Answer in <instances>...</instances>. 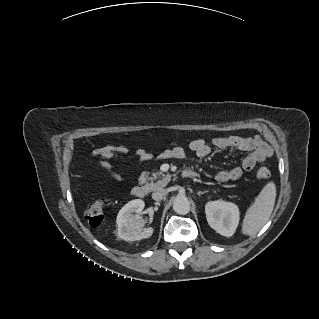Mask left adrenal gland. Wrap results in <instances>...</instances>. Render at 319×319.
<instances>
[{"label": "left adrenal gland", "instance_id": "obj_1", "mask_svg": "<svg viewBox=\"0 0 319 319\" xmlns=\"http://www.w3.org/2000/svg\"><path fill=\"white\" fill-rule=\"evenodd\" d=\"M204 193H207V191H199V192H198V195L200 196V195H202V194H204Z\"/></svg>", "mask_w": 319, "mask_h": 319}]
</instances>
